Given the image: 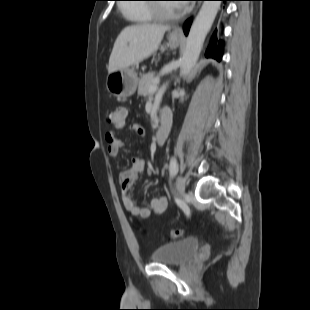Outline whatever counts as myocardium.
<instances>
[{
    "instance_id": "1",
    "label": "myocardium",
    "mask_w": 310,
    "mask_h": 310,
    "mask_svg": "<svg viewBox=\"0 0 310 310\" xmlns=\"http://www.w3.org/2000/svg\"><path fill=\"white\" fill-rule=\"evenodd\" d=\"M154 16L159 20H168L175 18L179 15V11L175 10H167L164 4H157L151 7Z\"/></svg>"
}]
</instances>
